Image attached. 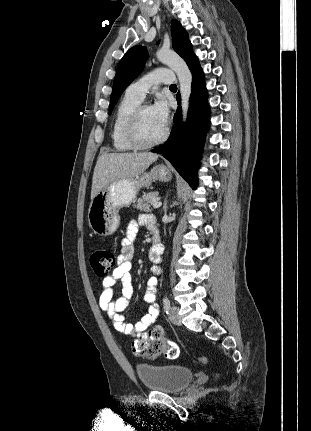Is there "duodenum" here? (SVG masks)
<instances>
[{
  "mask_svg": "<svg viewBox=\"0 0 311 431\" xmlns=\"http://www.w3.org/2000/svg\"><path fill=\"white\" fill-rule=\"evenodd\" d=\"M152 246H151V253L153 255H159L162 252V245L160 240V234L158 230H152Z\"/></svg>",
  "mask_w": 311,
  "mask_h": 431,
  "instance_id": "duodenum-1",
  "label": "duodenum"
}]
</instances>
